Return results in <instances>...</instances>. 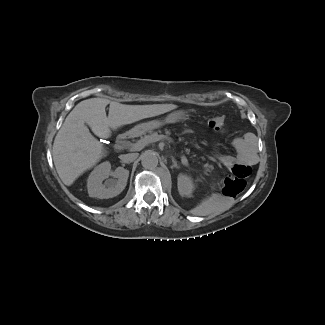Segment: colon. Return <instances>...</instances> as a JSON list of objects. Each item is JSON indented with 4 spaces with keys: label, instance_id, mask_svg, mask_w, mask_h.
Instances as JSON below:
<instances>
[{
    "label": "colon",
    "instance_id": "colon-1",
    "mask_svg": "<svg viewBox=\"0 0 325 325\" xmlns=\"http://www.w3.org/2000/svg\"><path fill=\"white\" fill-rule=\"evenodd\" d=\"M210 127L216 132H224V119L221 117L212 118ZM251 174V168L246 165L236 164L233 166L231 174L224 180L222 191L226 196L235 197L246 187V180Z\"/></svg>",
    "mask_w": 325,
    "mask_h": 325
}]
</instances>
